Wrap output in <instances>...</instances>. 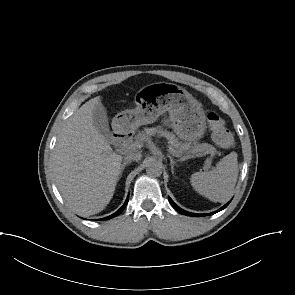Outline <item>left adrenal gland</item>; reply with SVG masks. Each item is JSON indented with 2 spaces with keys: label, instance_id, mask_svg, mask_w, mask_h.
<instances>
[{
  "label": "left adrenal gland",
  "instance_id": "1",
  "mask_svg": "<svg viewBox=\"0 0 295 295\" xmlns=\"http://www.w3.org/2000/svg\"><path fill=\"white\" fill-rule=\"evenodd\" d=\"M168 158L170 159L171 172L174 175V166L176 165V162L173 160L172 156L168 155Z\"/></svg>",
  "mask_w": 295,
  "mask_h": 295
}]
</instances>
